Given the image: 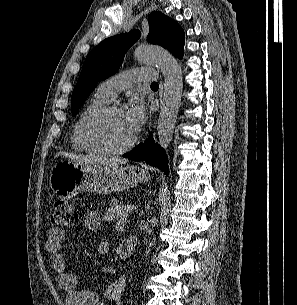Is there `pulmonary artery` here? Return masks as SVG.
I'll list each match as a JSON object with an SVG mask.
<instances>
[{
  "label": "pulmonary artery",
  "mask_w": 297,
  "mask_h": 305,
  "mask_svg": "<svg viewBox=\"0 0 297 305\" xmlns=\"http://www.w3.org/2000/svg\"><path fill=\"white\" fill-rule=\"evenodd\" d=\"M155 72L151 69H132L117 73L106 79L97 88V91L109 101H113L117 95L136 83L154 82Z\"/></svg>",
  "instance_id": "e3ab8cb5"
}]
</instances>
